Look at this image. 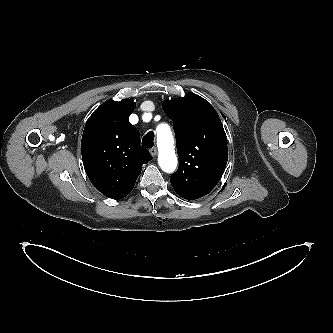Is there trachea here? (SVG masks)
Here are the masks:
<instances>
[{"label": "trachea", "mask_w": 333, "mask_h": 333, "mask_svg": "<svg viewBox=\"0 0 333 333\" xmlns=\"http://www.w3.org/2000/svg\"><path fill=\"white\" fill-rule=\"evenodd\" d=\"M142 145L146 148H152L154 145V133L149 131L142 139Z\"/></svg>", "instance_id": "1"}]
</instances>
